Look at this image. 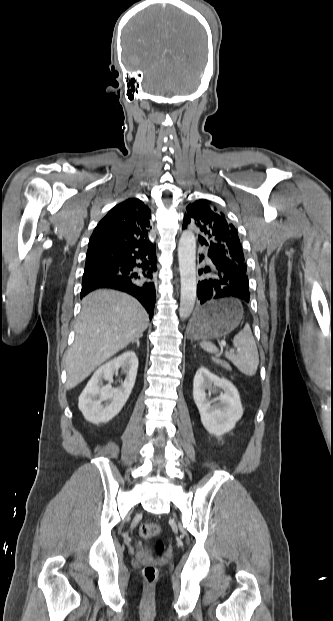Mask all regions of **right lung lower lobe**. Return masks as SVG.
Returning <instances> with one entry per match:
<instances>
[{
    "label": "right lung lower lobe",
    "instance_id": "right-lung-lower-lobe-1",
    "mask_svg": "<svg viewBox=\"0 0 333 621\" xmlns=\"http://www.w3.org/2000/svg\"><path fill=\"white\" fill-rule=\"evenodd\" d=\"M156 269L154 245L139 252L87 255L81 298L99 288L120 290L137 298L152 319L155 287L153 282L145 279H152Z\"/></svg>",
    "mask_w": 333,
    "mask_h": 621
}]
</instances>
